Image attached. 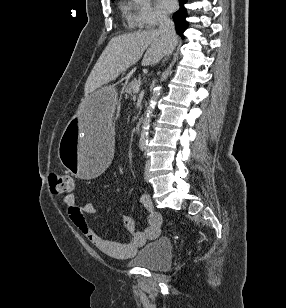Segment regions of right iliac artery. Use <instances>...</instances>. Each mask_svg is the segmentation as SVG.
<instances>
[{
	"mask_svg": "<svg viewBox=\"0 0 286 308\" xmlns=\"http://www.w3.org/2000/svg\"><path fill=\"white\" fill-rule=\"evenodd\" d=\"M145 149H146V147H145V146H142V147H141V150H142V151H143V150H145Z\"/></svg>",
	"mask_w": 286,
	"mask_h": 308,
	"instance_id": "1",
	"label": "right iliac artery"
}]
</instances>
